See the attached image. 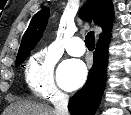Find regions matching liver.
<instances>
[{
	"label": "liver",
	"mask_w": 131,
	"mask_h": 115,
	"mask_svg": "<svg viewBox=\"0 0 131 115\" xmlns=\"http://www.w3.org/2000/svg\"><path fill=\"white\" fill-rule=\"evenodd\" d=\"M3 115H56V112L48 105L17 101L11 104Z\"/></svg>",
	"instance_id": "obj_1"
}]
</instances>
